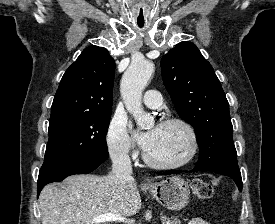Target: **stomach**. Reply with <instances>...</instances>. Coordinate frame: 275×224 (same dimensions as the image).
<instances>
[{"label":"stomach","mask_w":275,"mask_h":224,"mask_svg":"<svg viewBox=\"0 0 275 224\" xmlns=\"http://www.w3.org/2000/svg\"><path fill=\"white\" fill-rule=\"evenodd\" d=\"M148 190L162 206L172 211L181 210L189 203V185L180 177H169L159 183H153L149 185Z\"/></svg>","instance_id":"0dacf381"}]
</instances>
